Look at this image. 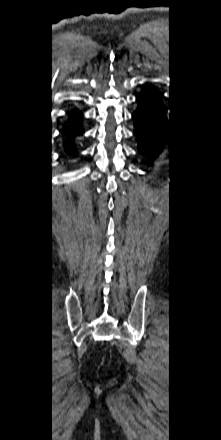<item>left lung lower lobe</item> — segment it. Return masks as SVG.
<instances>
[{
  "label": "left lung lower lobe",
  "mask_w": 221,
  "mask_h": 440,
  "mask_svg": "<svg viewBox=\"0 0 221 440\" xmlns=\"http://www.w3.org/2000/svg\"><path fill=\"white\" fill-rule=\"evenodd\" d=\"M139 103L132 117L135 121L134 134L138 139V150L153 160L168 142V121L160 92L147 87L136 98Z\"/></svg>",
  "instance_id": "left-lung-lower-lobe-1"
}]
</instances>
